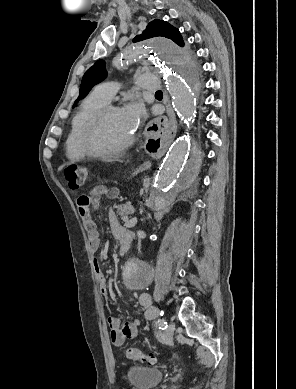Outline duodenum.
Segmentation results:
<instances>
[{"instance_id": "1", "label": "duodenum", "mask_w": 296, "mask_h": 389, "mask_svg": "<svg viewBox=\"0 0 296 389\" xmlns=\"http://www.w3.org/2000/svg\"><path fill=\"white\" fill-rule=\"evenodd\" d=\"M131 241H132L131 236H125L120 239V244H121L120 251H119L120 254H123L127 251V249L131 244Z\"/></svg>"}]
</instances>
